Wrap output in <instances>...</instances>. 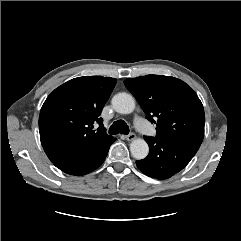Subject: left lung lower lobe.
Segmentation results:
<instances>
[{"instance_id": "1", "label": "left lung lower lobe", "mask_w": 241, "mask_h": 241, "mask_svg": "<svg viewBox=\"0 0 241 241\" xmlns=\"http://www.w3.org/2000/svg\"><path fill=\"white\" fill-rule=\"evenodd\" d=\"M149 145V154L137 160V167L147 176L159 180L168 179L181 171L193 158L201 144L175 141L162 137H144Z\"/></svg>"}]
</instances>
